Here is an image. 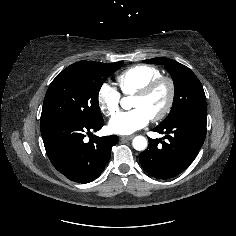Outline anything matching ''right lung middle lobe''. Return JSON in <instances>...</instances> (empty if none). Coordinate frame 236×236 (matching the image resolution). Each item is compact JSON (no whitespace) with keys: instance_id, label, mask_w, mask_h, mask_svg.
<instances>
[{"instance_id":"right-lung-middle-lobe-1","label":"right lung middle lobe","mask_w":236,"mask_h":236,"mask_svg":"<svg viewBox=\"0 0 236 236\" xmlns=\"http://www.w3.org/2000/svg\"><path fill=\"white\" fill-rule=\"evenodd\" d=\"M123 64L80 61L64 69L50 84L43 103L40 125L68 117L87 123L102 120L98 94L104 81Z\"/></svg>"}]
</instances>
